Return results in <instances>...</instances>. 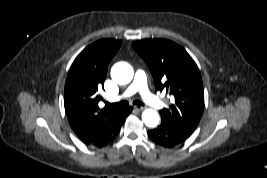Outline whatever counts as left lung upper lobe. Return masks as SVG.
Masks as SVG:
<instances>
[{"label": "left lung upper lobe", "mask_w": 267, "mask_h": 178, "mask_svg": "<svg viewBox=\"0 0 267 178\" xmlns=\"http://www.w3.org/2000/svg\"><path fill=\"white\" fill-rule=\"evenodd\" d=\"M133 47L148 65L156 90L166 89L173 96L170 108L160 111L162 120L190 136L204 110L203 83L196 63L184 48L166 39L139 40Z\"/></svg>", "instance_id": "left-lung-upper-lobe-1"}]
</instances>
